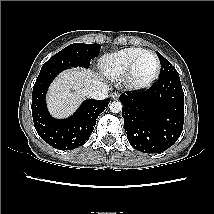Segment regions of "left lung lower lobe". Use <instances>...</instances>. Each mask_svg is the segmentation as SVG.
<instances>
[{"mask_svg":"<svg viewBox=\"0 0 214 214\" xmlns=\"http://www.w3.org/2000/svg\"><path fill=\"white\" fill-rule=\"evenodd\" d=\"M125 132L131 146L160 153L180 137L184 124V92L179 75L159 77L146 91L122 94Z\"/></svg>","mask_w":214,"mask_h":214,"instance_id":"obj_1","label":"left lung lower lobe"}]
</instances>
